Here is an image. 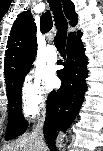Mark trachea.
<instances>
[{"label": "trachea", "instance_id": "1", "mask_svg": "<svg viewBox=\"0 0 103 151\" xmlns=\"http://www.w3.org/2000/svg\"><path fill=\"white\" fill-rule=\"evenodd\" d=\"M48 3L50 4V8L53 11L54 21L56 22L55 25L58 29L57 35L54 38V45L61 54H65L68 23L62 11L61 1L48 0Z\"/></svg>", "mask_w": 103, "mask_h": 151}]
</instances>
